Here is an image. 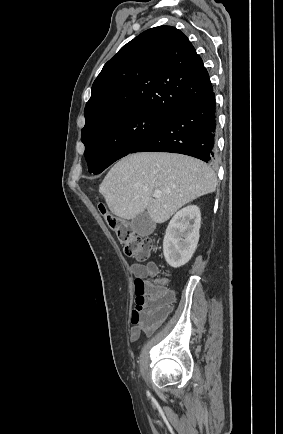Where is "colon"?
<instances>
[{
  "mask_svg": "<svg viewBox=\"0 0 283 434\" xmlns=\"http://www.w3.org/2000/svg\"><path fill=\"white\" fill-rule=\"evenodd\" d=\"M100 211L123 245L124 252L138 261H146L154 248V240L135 233L127 221L110 214L102 205ZM135 292L136 301L131 322L140 327L142 332L151 333L163 323L170 312L173 295L162 281L151 282L144 278L136 279Z\"/></svg>",
  "mask_w": 283,
  "mask_h": 434,
  "instance_id": "1",
  "label": "colon"
}]
</instances>
